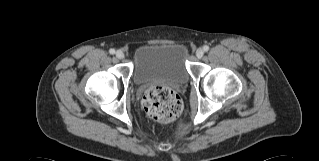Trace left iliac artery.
Instances as JSON below:
<instances>
[{"mask_svg": "<svg viewBox=\"0 0 319 161\" xmlns=\"http://www.w3.org/2000/svg\"><path fill=\"white\" fill-rule=\"evenodd\" d=\"M203 49H204V51H208V50H209V46L205 45V46L203 47Z\"/></svg>", "mask_w": 319, "mask_h": 161, "instance_id": "1", "label": "left iliac artery"}]
</instances>
